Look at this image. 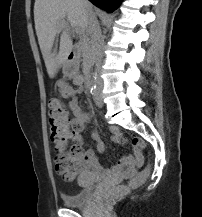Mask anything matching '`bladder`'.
<instances>
[{
  "mask_svg": "<svg viewBox=\"0 0 202 217\" xmlns=\"http://www.w3.org/2000/svg\"><path fill=\"white\" fill-rule=\"evenodd\" d=\"M97 181L92 171L82 172L78 179L80 190L73 195H62V201L67 207H80L87 203L92 196V188Z\"/></svg>",
  "mask_w": 202,
  "mask_h": 217,
  "instance_id": "1",
  "label": "bladder"
}]
</instances>
